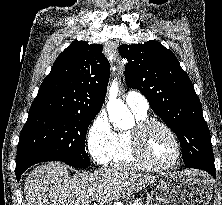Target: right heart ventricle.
Masks as SVG:
<instances>
[{"mask_svg":"<svg viewBox=\"0 0 222 205\" xmlns=\"http://www.w3.org/2000/svg\"><path fill=\"white\" fill-rule=\"evenodd\" d=\"M137 122L147 119V113L132 110ZM107 164L114 167H127L150 171L152 168L140 161L135 155L131 130L115 133L114 143L108 155Z\"/></svg>","mask_w":222,"mask_h":205,"instance_id":"obj_1","label":"right heart ventricle"}]
</instances>
